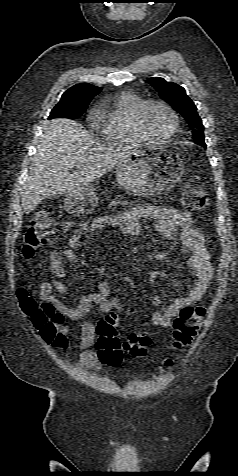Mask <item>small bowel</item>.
<instances>
[{
  "label": "small bowel",
  "instance_id": "small-bowel-1",
  "mask_svg": "<svg viewBox=\"0 0 238 476\" xmlns=\"http://www.w3.org/2000/svg\"><path fill=\"white\" fill-rule=\"evenodd\" d=\"M145 220H152L154 222L152 231L165 238H172L179 232L182 245L190 253L188 266L193 272L194 279L189 293L163 306L150 318L151 325L167 328L183 308L192 306L203 298L213 276L210 253L205 245L203 234L196 228L189 213L167 207L143 205L118 214L97 217L81 224L70 238L69 248L64 251V256L74 266L85 268L88 264L81 256L80 249L83 241L88 240L92 233L110 227H119L126 236L137 238L143 234L142 222ZM52 271V280L40 285L39 297L43 303L50 305L61 317L71 320L84 319L78 343L80 351L78 361L82 367L99 369L102 362L98 352L90 349L96 341L98 326L106 315L112 311L121 310L123 306L118 299L111 296L110 284L107 281H101L97 292L83 297L77 306L70 307L57 296V294L63 295L67 292L63 281L64 269L59 259L54 260ZM153 302L158 304L159 299L154 298ZM92 313L100 316L97 322H93L89 318Z\"/></svg>",
  "mask_w": 238,
  "mask_h": 476
}]
</instances>
